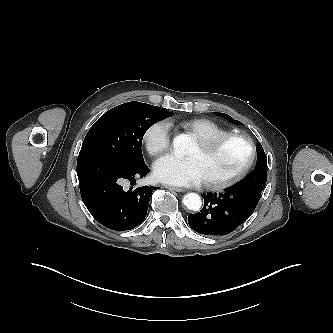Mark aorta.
Returning <instances> with one entry per match:
<instances>
[{
	"label": "aorta",
	"mask_w": 333,
	"mask_h": 333,
	"mask_svg": "<svg viewBox=\"0 0 333 333\" xmlns=\"http://www.w3.org/2000/svg\"><path fill=\"white\" fill-rule=\"evenodd\" d=\"M190 144H191V139L188 135L186 134L176 135L173 139V148L175 155L178 157L184 156ZM183 204L187 207V209L197 211L200 209L202 201L198 194L188 193L183 198Z\"/></svg>",
	"instance_id": "obj_1"
}]
</instances>
